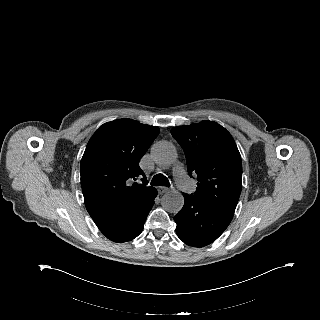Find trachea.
<instances>
[{
	"instance_id": "1",
	"label": "trachea",
	"mask_w": 320,
	"mask_h": 320,
	"mask_svg": "<svg viewBox=\"0 0 320 320\" xmlns=\"http://www.w3.org/2000/svg\"><path fill=\"white\" fill-rule=\"evenodd\" d=\"M151 185L152 186H166L169 187L170 183L169 180L166 176H164L163 174H157L152 178L151 181Z\"/></svg>"
}]
</instances>
